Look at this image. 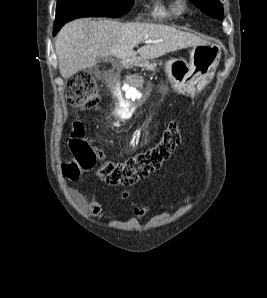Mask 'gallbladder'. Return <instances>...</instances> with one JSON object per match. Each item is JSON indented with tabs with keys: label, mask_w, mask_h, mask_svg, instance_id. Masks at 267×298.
<instances>
[{
	"label": "gallbladder",
	"mask_w": 267,
	"mask_h": 298,
	"mask_svg": "<svg viewBox=\"0 0 267 298\" xmlns=\"http://www.w3.org/2000/svg\"><path fill=\"white\" fill-rule=\"evenodd\" d=\"M98 62H101V61H106V60H112L111 57H101V58H97Z\"/></svg>",
	"instance_id": "obj_1"
}]
</instances>
